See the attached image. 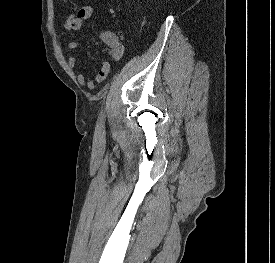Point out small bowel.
<instances>
[{
  "label": "small bowel",
  "mask_w": 275,
  "mask_h": 263,
  "mask_svg": "<svg viewBox=\"0 0 275 263\" xmlns=\"http://www.w3.org/2000/svg\"><path fill=\"white\" fill-rule=\"evenodd\" d=\"M94 12L95 7L87 5L78 8L67 17L64 27L69 34L67 43L69 50H76L79 47L76 32L82 28L84 21L88 20ZM100 38L108 47L109 55L116 61L120 60L124 54V44L119 36L111 31H103L100 34ZM68 67L71 71L75 70L76 58L74 56L68 58ZM110 69V63L103 61L93 78H86L82 72H78L76 78L80 85L87 86L89 89H95L97 83H101L106 79Z\"/></svg>",
  "instance_id": "small-bowel-1"
}]
</instances>
